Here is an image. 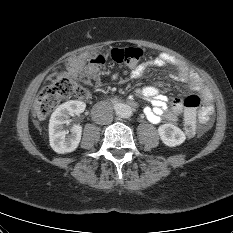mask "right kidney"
Wrapping results in <instances>:
<instances>
[{"mask_svg": "<svg viewBox=\"0 0 233 233\" xmlns=\"http://www.w3.org/2000/svg\"><path fill=\"white\" fill-rule=\"evenodd\" d=\"M85 103L78 100L68 101L60 105L51 115L49 123V141L52 149L58 154L70 153L78 147L82 127L74 125L70 134L65 130L64 124L68 122L70 116L82 113L85 110Z\"/></svg>", "mask_w": 233, "mask_h": 233, "instance_id": "obj_1", "label": "right kidney"}]
</instances>
